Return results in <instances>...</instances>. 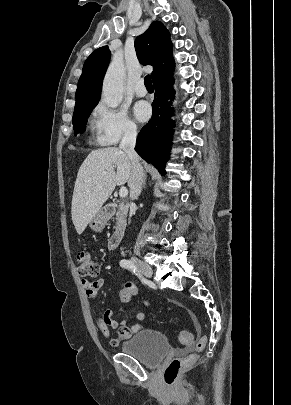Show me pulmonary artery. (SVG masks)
<instances>
[{"label": "pulmonary artery", "instance_id": "obj_1", "mask_svg": "<svg viewBox=\"0 0 291 405\" xmlns=\"http://www.w3.org/2000/svg\"><path fill=\"white\" fill-rule=\"evenodd\" d=\"M135 94L139 97H144L147 94V90L144 86L143 80H139L134 88Z\"/></svg>", "mask_w": 291, "mask_h": 405}]
</instances>
